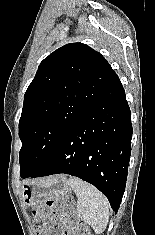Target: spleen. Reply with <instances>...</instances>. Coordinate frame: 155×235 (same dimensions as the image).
Masks as SVG:
<instances>
[{
    "label": "spleen",
    "mask_w": 155,
    "mask_h": 235,
    "mask_svg": "<svg viewBox=\"0 0 155 235\" xmlns=\"http://www.w3.org/2000/svg\"><path fill=\"white\" fill-rule=\"evenodd\" d=\"M68 184L78 198V217L90 225L96 234L103 233L109 221L107 198L97 188L79 178H69Z\"/></svg>",
    "instance_id": "3e777b00"
}]
</instances>
